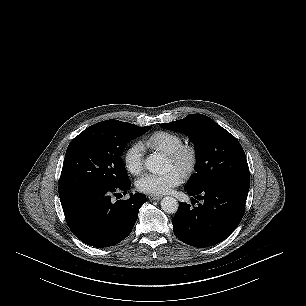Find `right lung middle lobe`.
<instances>
[{
    "label": "right lung middle lobe",
    "instance_id": "1",
    "mask_svg": "<svg viewBox=\"0 0 306 306\" xmlns=\"http://www.w3.org/2000/svg\"><path fill=\"white\" fill-rule=\"evenodd\" d=\"M151 126L139 127L118 120L96 123L69 144L60 184L59 196L95 185L120 186L129 181L123 150L132 139L143 135Z\"/></svg>",
    "mask_w": 306,
    "mask_h": 306
}]
</instances>
